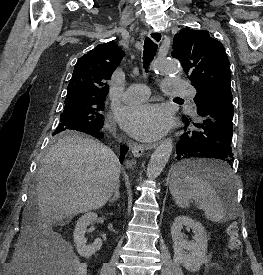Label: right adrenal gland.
<instances>
[{"instance_id": "2a0ac1e0", "label": "right adrenal gland", "mask_w": 263, "mask_h": 275, "mask_svg": "<svg viewBox=\"0 0 263 275\" xmlns=\"http://www.w3.org/2000/svg\"><path fill=\"white\" fill-rule=\"evenodd\" d=\"M120 198V192H119V182L117 183L115 190H114V195L113 197L109 200V202H116Z\"/></svg>"}]
</instances>
